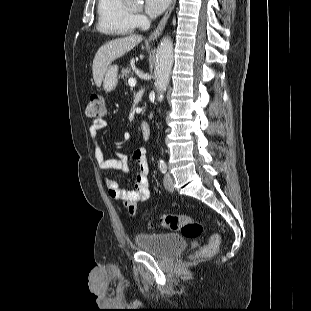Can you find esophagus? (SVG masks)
Masks as SVG:
<instances>
[{
  "label": "esophagus",
  "instance_id": "obj_1",
  "mask_svg": "<svg viewBox=\"0 0 311 311\" xmlns=\"http://www.w3.org/2000/svg\"><path fill=\"white\" fill-rule=\"evenodd\" d=\"M175 3H176V0H172L171 1V4L170 6L168 7L165 15L163 16V18L161 19L159 25L157 26V28L149 35L148 39L150 41L152 40H155L159 37V35L162 33L166 23H167V20L172 12V10L174 9V6H175Z\"/></svg>",
  "mask_w": 311,
  "mask_h": 311
}]
</instances>
